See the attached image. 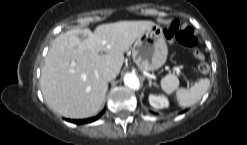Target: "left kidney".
Returning <instances> with one entry per match:
<instances>
[{"mask_svg": "<svg viewBox=\"0 0 247 145\" xmlns=\"http://www.w3.org/2000/svg\"><path fill=\"white\" fill-rule=\"evenodd\" d=\"M149 103L156 109H163L169 106L168 99L163 95H149Z\"/></svg>", "mask_w": 247, "mask_h": 145, "instance_id": "obj_1", "label": "left kidney"}]
</instances>
